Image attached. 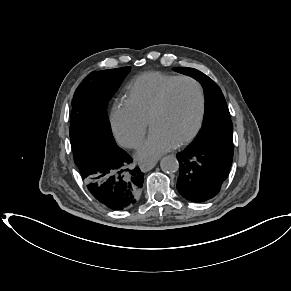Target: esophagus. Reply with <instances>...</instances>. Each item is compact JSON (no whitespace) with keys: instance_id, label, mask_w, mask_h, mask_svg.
<instances>
[{"instance_id":"obj_1","label":"esophagus","mask_w":291,"mask_h":291,"mask_svg":"<svg viewBox=\"0 0 291 291\" xmlns=\"http://www.w3.org/2000/svg\"><path fill=\"white\" fill-rule=\"evenodd\" d=\"M156 164H157V161H153V162H150V163H144V164L140 165V169L142 171H149L152 168H154Z\"/></svg>"}]
</instances>
